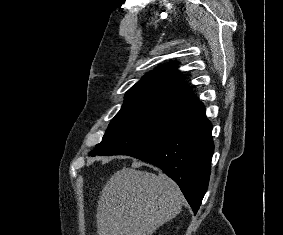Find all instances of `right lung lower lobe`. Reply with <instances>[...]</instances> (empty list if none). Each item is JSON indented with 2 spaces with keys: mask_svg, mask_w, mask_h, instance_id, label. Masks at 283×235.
I'll list each match as a JSON object with an SVG mask.
<instances>
[{
  "mask_svg": "<svg viewBox=\"0 0 283 235\" xmlns=\"http://www.w3.org/2000/svg\"><path fill=\"white\" fill-rule=\"evenodd\" d=\"M211 131L204 105L195 100L164 135L125 155L162 169L179 185L196 214L209 183L214 151Z\"/></svg>",
  "mask_w": 283,
  "mask_h": 235,
  "instance_id": "1",
  "label": "right lung lower lobe"
}]
</instances>
